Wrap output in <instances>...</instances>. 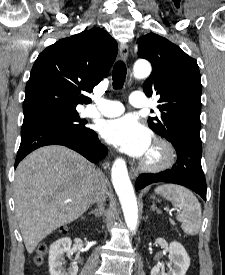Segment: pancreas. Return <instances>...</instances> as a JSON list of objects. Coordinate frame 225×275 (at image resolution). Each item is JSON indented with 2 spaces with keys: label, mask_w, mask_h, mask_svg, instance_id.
Returning a JSON list of instances; mask_svg holds the SVG:
<instances>
[{
  "label": "pancreas",
  "mask_w": 225,
  "mask_h": 275,
  "mask_svg": "<svg viewBox=\"0 0 225 275\" xmlns=\"http://www.w3.org/2000/svg\"><path fill=\"white\" fill-rule=\"evenodd\" d=\"M170 223H171L172 225H175L174 221H172V220H170Z\"/></svg>",
  "instance_id": "cf45deb5"
}]
</instances>
